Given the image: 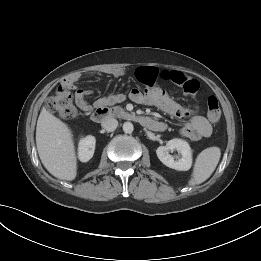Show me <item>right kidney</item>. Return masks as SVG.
<instances>
[{"label":"right kidney","mask_w":261,"mask_h":261,"mask_svg":"<svg viewBox=\"0 0 261 261\" xmlns=\"http://www.w3.org/2000/svg\"><path fill=\"white\" fill-rule=\"evenodd\" d=\"M95 143V137L91 135L86 136L79 141L78 157L81 162H87L92 158L94 154Z\"/></svg>","instance_id":"1"}]
</instances>
